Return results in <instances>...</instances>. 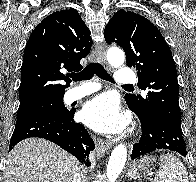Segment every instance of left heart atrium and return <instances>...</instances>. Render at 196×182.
<instances>
[{
  "instance_id": "obj_1",
  "label": "left heart atrium",
  "mask_w": 196,
  "mask_h": 182,
  "mask_svg": "<svg viewBox=\"0 0 196 182\" xmlns=\"http://www.w3.org/2000/svg\"><path fill=\"white\" fill-rule=\"evenodd\" d=\"M81 119L101 133L120 132L128 123L127 116L119 111L117 99L110 94H102L88 101L81 111Z\"/></svg>"
}]
</instances>
